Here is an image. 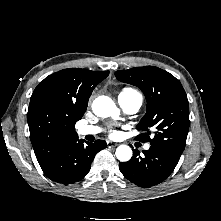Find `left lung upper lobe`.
Listing matches in <instances>:
<instances>
[{
  "label": "left lung upper lobe",
  "instance_id": "left-lung-upper-lobe-1",
  "mask_svg": "<svg viewBox=\"0 0 221 221\" xmlns=\"http://www.w3.org/2000/svg\"><path fill=\"white\" fill-rule=\"evenodd\" d=\"M115 76L140 88L146 97L147 112L137 127L146 133L137 138L181 155L190 120L187 95L180 81L154 66L118 70Z\"/></svg>",
  "mask_w": 221,
  "mask_h": 221
}]
</instances>
